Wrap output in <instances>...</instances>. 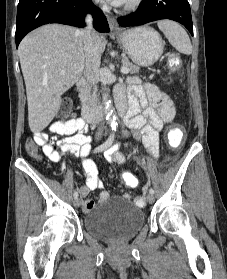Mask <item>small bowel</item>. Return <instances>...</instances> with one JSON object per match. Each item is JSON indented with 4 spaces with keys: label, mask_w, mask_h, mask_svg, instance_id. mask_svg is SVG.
Masks as SVG:
<instances>
[{
    "label": "small bowel",
    "mask_w": 227,
    "mask_h": 279,
    "mask_svg": "<svg viewBox=\"0 0 227 279\" xmlns=\"http://www.w3.org/2000/svg\"><path fill=\"white\" fill-rule=\"evenodd\" d=\"M128 102V111L124 116L126 133H131L134 138L142 139L154 158L159 152V133L164 125L171 122L175 115L173 99L157 86L151 83H142L137 77L128 80L127 89L116 88V101ZM49 133H38L33 141L42 147L44 155L53 163L62 161L69 155L80 156L83 161V170L86 177L85 183L80 187V194L84 198L83 210L90 213L96 201L87 196L91 191L99 189L102 182L97 175V166L89 158L91 152V136L83 119L71 116L66 119H58L50 126ZM118 145L108 149L104 153L105 159L114 164L126 162V155L117 151ZM109 194L101 191L98 202L107 201Z\"/></svg>",
    "instance_id": "small-bowel-1"
}]
</instances>
